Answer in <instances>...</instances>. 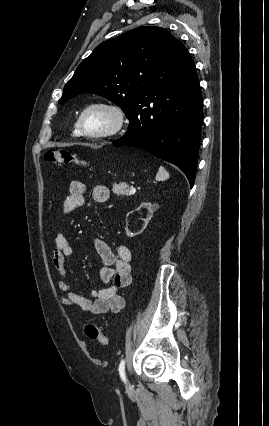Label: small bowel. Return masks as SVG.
<instances>
[{"mask_svg": "<svg viewBox=\"0 0 269 426\" xmlns=\"http://www.w3.org/2000/svg\"><path fill=\"white\" fill-rule=\"evenodd\" d=\"M87 190L88 188L83 182L72 181L69 185V195L62 204L63 214H70L75 209L83 207ZM92 196L95 202L105 203L110 197V192L106 186H95L92 190ZM55 244L52 263L61 277L58 282V289L66 294L60 298L63 306L79 308L81 311L93 314L117 313L124 308L125 300L119 293L128 287L132 281V254L127 246L119 245L113 251L103 239H95V249L103 263L99 278L105 286L92 290L90 296L85 297L73 291L67 279L66 259L74 253L73 244L62 233L57 234Z\"/></svg>", "mask_w": 269, "mask_h": 426, "instance_id": "1", "label": "small bowel"}]
</instances>
